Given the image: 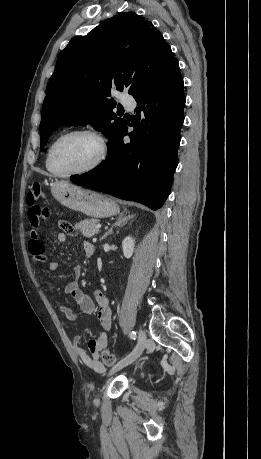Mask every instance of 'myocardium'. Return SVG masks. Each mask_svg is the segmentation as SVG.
<instances>
[{
    "label": "myocardium",
    "mask_w": 261,
    "mask_h": 459,
    "mask_svg": "<svg viewBox=\"0 0 261 459\" xmlns=\"http://www.w3.org/2000/svg\"><path fill=\"white\" fill-rule=\"evenodd\" d=\"M73 135H85V136L92 138L96 142L98 146V153L95 159L86 167L76 170V171H72L69 173L54 172L51 168L50 161H51V156H52L55 146L62 139L69 137V136H73ZM107 151L108 149H107L105 140L96 131L91 130V129H86V128H77V129L68 130L66 132L61 133L59 136H57L50 144L49 149L47 151V156H46V168L53 176H56L59 178H69L73 176L87 174L97 169L103 163V161L105 160L107 156Z\"/></svg>",
    "instance_id": "1"
}]
</instances>
